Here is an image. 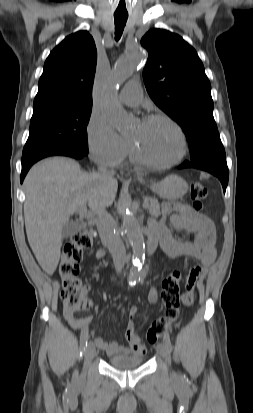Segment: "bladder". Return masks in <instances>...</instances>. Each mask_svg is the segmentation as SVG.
<instances>
[{
  "instance_id": "bladder-1",
  "label": "bladder",
  "mask_w": 253,
  "mask_h": 413,
  "mask_svg": "<svg viewBox=\"0 0 253 413\" xmlns=\"http://www.w3.org/2000/svg\"><path fill=\"white\" fill-rule=\"evenodd\" d=\"M108 362L114 368L126 370L139 367L143 358L139 355H119L109 358Z\"/></svg>"
}]
</instances>
